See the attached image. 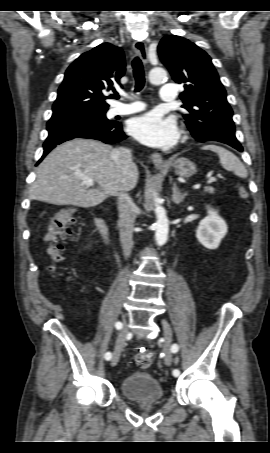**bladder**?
Instances as JSON below:
<instances>
[{"mask_svg": "<svg viewBox=\"0 0 270 453\" xmlns=\"http://www.w3.org/2000/svg\"><path fill=\"white\" fill-rule=\"evenodd\" d=\"M120 391L126 399L134 402L160 401L164 397L161 382L146 372L127 375L120 383Z\"/></svg>", "mask_w": 270, "mask_h": 453, "instance_id": "31cf9c89", "label": "bladder"}]
</instances>
